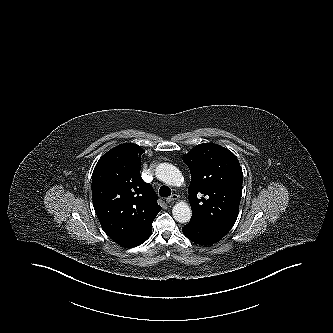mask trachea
Listing matches in <instances>:
<instances>
[{
    "label": "trachea",
    "instance_id": "trachea-1",
    "mask_svg": "<svg viewBox=\"0 0 333 333\" xmlns=\"http://www.w3.org/2000/svg\"><path fill=\"white\" fill-rule=\"evenodd\" d=\"M159 194L161 197H168L171 195V189L168 186H162L159 189Z\"/></svg>",
    "mask_w": 333,
    "mask_h": 333
}]
</instances>
